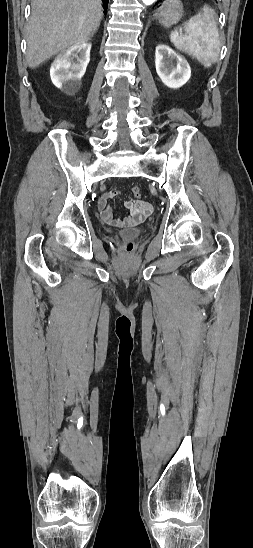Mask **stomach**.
<instances>
[{
    "label": "stomach",
    "instance_id": "obj_1",
    "mask_svg": "<svg viewBox=\"0 0 253 548\" xmlns=\"http://www.w3.org/2000/svg\"><path fill=\"white\" fill-rule=\"evenodd\" d=\"M183 15V5L179 0H166L159 8L156 18L164 27H171L179 22Z\"/></svg>",
    "mask_w": 253,
    "mask_h": 548
}]
</instances>
